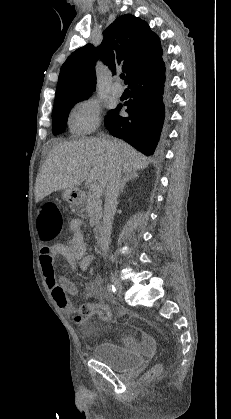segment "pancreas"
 Segmentation results:
<instances>
[{"mask_svg":"<svg viewBox=\"0 0 231 419\" xmlns=\"http://www.w3.org/2000/svg\"><path fill=\"white\" fill-rule=\"evenodd\" d=\"M85 210L90 217L89 223L91 226L99 224L102 217V201L99 197L88 195L84 201Z\"/></svg>","mask_w":231,"mask_h":419,"instance_id":"cf45deb5","label":"pancreas"}]
</instances>
